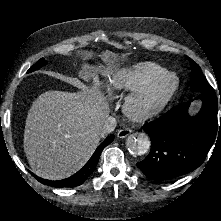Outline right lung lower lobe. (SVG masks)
Segmentation results:
<instances>
[{
  "label": "right lung lower lobe",
  "instance_id": "98d812e1",
  "mask_svg": "<svg viewBox=\"0 0 221 221\" xmlns=\"http://www.w3.org/2000/svg\"><path fill=\"white\" fill-rule=\"evenodd\" d=\"M113 140H114V135L107 137L105 139V141L97 147V149L95 150V152L93 153V155L91 156L89 161L78 172H76L74 175H72L68 178H65L62 180H57V181H52V180L42 179V178L34 175L33 173H31V174L39 182H41L45 185L56 187V188H69V187L79 186V185L83 184L85 182V180L93 173V171L95 170L96 165L99 161V158H100V155H101L103 149L107 145H109Z\"/></svg>",
  "mask_w": 221,
  "mask_h": 221
}]
</instances>
